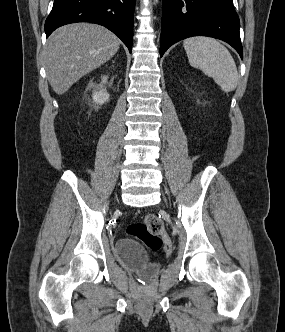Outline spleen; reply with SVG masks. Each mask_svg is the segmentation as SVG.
I'll return each instance as SVG.
<instances>
[{
  "mask_svg": "<svg viewBox=\"0 0 285 332\" xmlns=\"http://www.w3.org/2000/svg\"><path fill=\"white\" fill-rule=\"evenodd\" d=\"M183 46L192 67L202 70L225 92L233 91L238 84L237 67L228 49L210 37L185 39Z\"/></svg>",
  "mask_w": 285,
  "mask_h": 332,
  "instance_id": "1",
  "label": "spleen"
}]
</instances>
